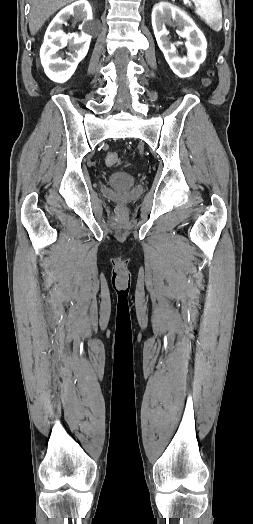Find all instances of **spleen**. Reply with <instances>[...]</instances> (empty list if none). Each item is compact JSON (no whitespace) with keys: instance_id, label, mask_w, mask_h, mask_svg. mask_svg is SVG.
<instances>
[{"instance_id":"obj_1","label":"spleen","mask_w":253,"mask_h":524,"mask_svg":"<svg viewBox=\"0 0 253 524\" xmlns=\"http://www.w3.org/2000/svg\"><path fill=\"white\" fill-rule=\"evenodd\" d=\"M199 15L214 31L222 29V9L219 0H193Z\"/></svg>"}]
</instances>
